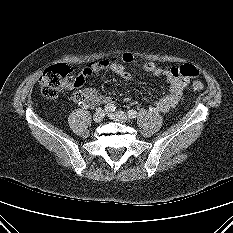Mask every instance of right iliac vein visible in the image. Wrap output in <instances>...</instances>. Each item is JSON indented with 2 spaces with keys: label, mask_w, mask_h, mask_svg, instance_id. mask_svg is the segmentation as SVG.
<instances>
[{
  "label": "right iliac vein",
  "mask_w": 233,
  "mask_h": 233,
  "mask_svg": "<svg viewBox=\"0 0 233 233\" xmlns=\"http://www.w3.org/2000/svg\"><path fill=\"white\" fill-rule=\"evenodd\" d=\"M105 117V112L103 110H98L94 116H93V120L96 123H100Z\"/></svg>",
  "instance_id": "obj_1"
}]
</instances>
